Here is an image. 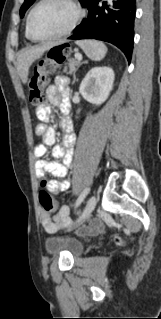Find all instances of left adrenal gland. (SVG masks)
<instances>
[{"instance_id":"obj_1","label":"left adrenal gland","mask_w":161,"mask_h":319,"mask_svg":"<svg viewBox=\"0 0 161 319\" xmlns=\"http://www.w3.org/2000/svg\"><path fill=\"white\" fill-rule=\"evenodd\" d=\"M75 80H76V77L74 76V80H73V83L75 82Z\"/></svg>"}]
</instances>
